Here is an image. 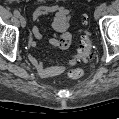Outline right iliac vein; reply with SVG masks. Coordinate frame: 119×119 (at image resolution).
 Listing matches in <instances>:
<instances>
[{
  "label": "right iliac vein",
  "mask_w": 119,
  "mask_h": 119,
  "mask_svg": "<svg viewBox=\"0 0 119 119\" xmlns=\"http://www.w3.org/2000/svg\"><path fill=\"white\" fill-rule=\"evenodd\" d=\"M20 24L22 27H25L26 25V20L23 16H19Z\"/></svg>",
  "instance_id": "63e3f726"
}]
</instances>
